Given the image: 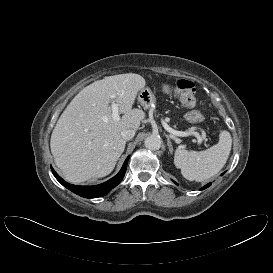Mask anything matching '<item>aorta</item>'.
<instances>
[{
    "label": "aorta",
    "instance_id": "aorta-1",
    "mask_svg": "<svg viewBox=\"0 0 273 273\" xmlns=\"http://www.w3.org/2000/svg\"><path fill=\"white\" fill-rule=\"evenodd\" d=\"M144 144L147 149L155 151L160 149L162 141L159 136L152 135L145 139Z\"/></svg>",
    "mask_w": 273,
    "mask_h": 273
}]
</instances>
